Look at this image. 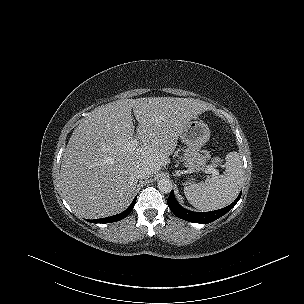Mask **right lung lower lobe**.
Here are the masks:
<instances>
[{"instance_id":"1","label":"right lung lower lobe","mask_w":304,"mask_h":304,"mask_svg":"<svg viewBox=\"0 0 304 304\" xmlns=\"http://www.w3.org/2000/svg\"><path fill=\"white\" fill-rule=\"evenodd\" d=\"M136 198H137V196L134 198L131 205L124 212H122L118 215H114V216L106 217V218H101V219L88 220V221L91 222V223H110V222L119 221V220H121V219H123V218H125L129 215V213L131 212V210L133 209V207L135 205Z\"/></svg>"}]
</instances>
